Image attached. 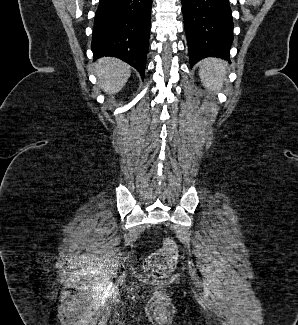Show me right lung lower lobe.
<instances>
[{"label": "right lung lower lobe", "mask_w": 298, "mask_h": 325, "mask_svg": "<svg viewBox=\"0 0 298 325\" xmlns=\"http://www.w3.org/2000/svg\"><path fill=\"white\" fill-rule=\"evenodd\" d=\"M152 0H100L91 49L96 59L117 57L144 78Z\"/></svg>", "instance_id": "obj_1"}]
</instances>
